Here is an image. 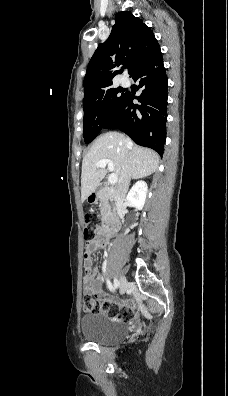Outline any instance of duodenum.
Here are the masks:
<instances>
[{
	"mask_svg": "<svg viewBox=\"0 0 228 396\" xmlns=\"http://www.w3.org/2000/svg\"><path fill=\"white\" fill-rule=\"evenodd\" d=\"M99 190L93 196L98 197ZM120 229V219L118 213L114 212L106 216L104 219V231L112 236Z\"/></svg>",
	"mask_w": 228,
	"mask_h": 396,
	"instance_id": "duodenum-1",
	"label": "duodenum"
}]
</instances>
